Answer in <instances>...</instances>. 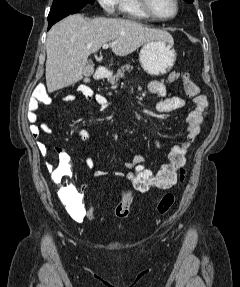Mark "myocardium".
Instances as JSON below:
<instances>
[{
	"mask_svg": "<svg viewBox=\"0 0 240 287\" xmlns=\"http://www.w3.org/2000/svg\"><path fill=\"white\" fill-rule=\"evenodd\" d=\"M140 6L142 8V10L144 11V13L146 15H148L150 18L157 20V21H170L172 19H174L175 17H177V15L179 14L180 11V3L179 0H174V4H175V12L173 13V15L171 16H167V17H163L158 15L152 8L151 6V1L150 0H139Z\"/></svg>",
	"mask_w": 240,
	"mask_h": 287,
	"instance_id": "1",
	"label": "myocardium"
}]
</instances>
